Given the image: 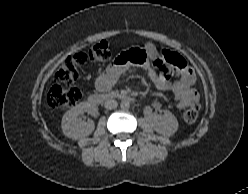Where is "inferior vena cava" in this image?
Returning a JSON list of instances; mask_svg holds the SVG:
<instances>
[{"instance_id": "obj_1", "label": "inferior vena cava", "mask_w": 248, "mask_h": 194, "mask_svg": "<svg viewBox=\"0 0 248 194\" xmlns=\"http://www.w3.org/2000/svg\"><path fill=\"white\" fill-rule=\"evenodd\" d=\"M104 106L106 109L111 110V109H115L118 106V103L113 99H109V100L105 101Z\"/></svg>"}]
</instances>
